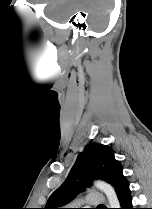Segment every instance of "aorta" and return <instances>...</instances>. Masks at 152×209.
<instances>
[{"mask_svg":"<svg viewBox=\"0 0 152 209\" xmlns=\"http://www.w3.org/2000/svg\"><path fill=\"white\" fill-rule=\"evenodd\" d=\"M94 186L105 193V195L108 199L110 208H119L120 207V203H119V200H118L117 195L115 193V190L110 184H108L104 181H95Z\"/></svg>","mask_w":152,"mask_h":209,"instance_id":"762f6f07","label":"aorta"}]
</instances>
